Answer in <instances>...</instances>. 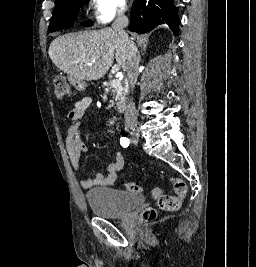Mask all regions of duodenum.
Segmentation results:
<instances>
[{
	"label": "duodenum",
	"instance_id": "obj_1",
	"mask_svg": "<svg viewBox=\"0 0 256 267\" xmlns=\"http://www.w3.org/2000/svg\"><path fill=\"white\" fill-rule=\"evenodd\" d=\"M69 82L73 83L74 88L78 90H85L87 88V81H82V78L78 77H69ZM92 82H95V79H92ZM117 108L120 114H125L127 111V102L121 100L117 103Z\"/></svg>",
	"mask_w": 256,
	"mask_h": 267
}]
</instances>
